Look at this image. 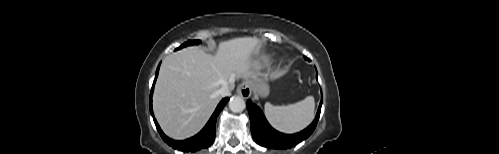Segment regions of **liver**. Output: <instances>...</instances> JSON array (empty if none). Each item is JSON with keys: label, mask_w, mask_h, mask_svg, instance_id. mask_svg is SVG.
Returning <instances> with one entry per match:
<instances>
[{"label": "liver", "mask_w": 499, "mask_h": 154, "mask_svg": "<svg viewBox=\"0 0 499 154\" xmlns=\"http://www.w3.org/2000/svg\"><path fill=\"white\" fill-rule=\"evenodd\" d=\"M261 41L243 37L223 41L213 56L188 47L165 57L153 95V110L162 130L177 140L189 138L206 124L219 102L217 91L240 77L256 78Z\"/></svg>", "instance_id": "6515ba94"}]
</instances>
